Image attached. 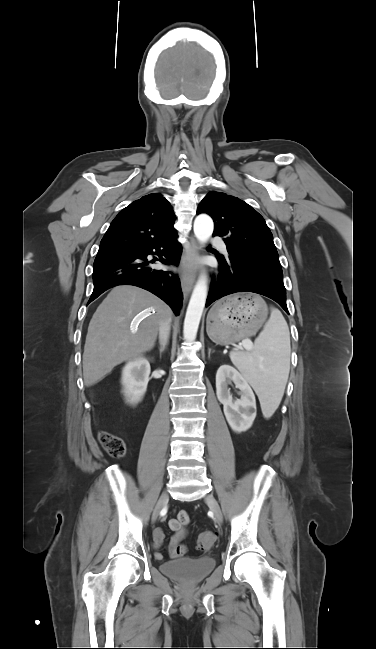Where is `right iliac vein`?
<instances>
[{
	"label": "right iliac vein",
	"instance_id": "63e3f726",
	"mask_svg": "<svg viewBox=\"0 0 376 649\" xmlns=\"http://www.w3.org/2000/svg\"><path fill=\"white\" fill-rule=\"evenodd\" d=\"M167 502H168V494L167 492H163L153 511V515H152L153 522L156 521L161 509L167 504Z\"/></svg>",
	"mask_w": 376,
	"mask_h": 649
}]
</instances>
